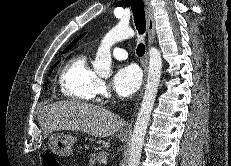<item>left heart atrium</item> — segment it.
Returning <instances> with one entry per match:
<instances>
[{"mask_svg": "<svg viewBox=\"0 0 231 166\" xmlns=\"http://www.w3.org/2000/svg\"><path fill=\"white\" fill-rule=\"evenodd\" d=\"M141 71L135 65H124L117 69L112 79V86L116 93L128 97L140 87Z\"/></svg>", "mask_w": 231, "mask_h": 166, "instance_id": "left-heart-atrium-1", "label": "left heart atrium"}]
</instances>
